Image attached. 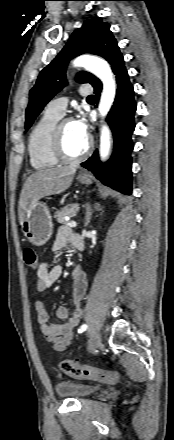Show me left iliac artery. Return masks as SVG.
Instances as JSON below:
<instances>
[{
  "mask_svg": "<svg viewBox=\"0 0 174 440\" xmlns=\"http://www.w3.org/2000/svg\"><path fill=\"white\" fill-rule=\"evenodd\" d=\"M87 325L86 324H83L79 329H78V333H82V332H84L86 329H87Z\"/></svg>",
  "mask_w": 174,
  "mask_h": 440,
  "instance_id": "left-iliac-artery-1",
  "label": "left iliac artery"
}]
</instances>
